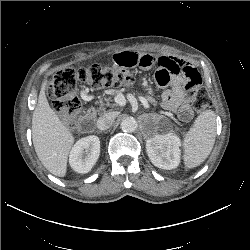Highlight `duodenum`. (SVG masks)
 Returning <instances> with one entry per match:
<instances>
[{"label": "duodenum", "mask_w": 250, "mask_h": 250, "mask_svg": "<svg viewBox=\"0 0 250 250\" xmlns=\"http://www.w3.org/2000/svg\"><path fill=\"white\" fill-rule=\"evenodd\" d=\"M95 120V112L93 110L87 111L81 120V126L85 131H90Z\"/></svg>", "instance_id": "obj_1"}]
</instances>
